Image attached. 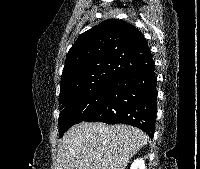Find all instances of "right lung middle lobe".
<instances>
[{"instance_id": "1", "label": "right lung middle lobe", "mask_w": 200, "mask_h": 169, "mask_svg": "<svg viewBox=\"0 0 200 169\" xmlns=\"http://www.w3.org/2000/svg\"><path fill=\"white\" fill-rule=\"evenodd\" d=\"M116 81V79L100 80L70 97L59 100L64 106L58 120L60 137L69 127L82 122L93 113L102 104Z\"/></svg>"}]
</instances>
